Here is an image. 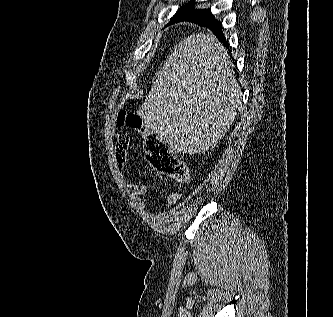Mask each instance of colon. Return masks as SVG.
Instances as JSON below:
<instances>
[{
  "label": "colon",
  "mask_w": 333,
  "mask_h": 317,
  "mask_svg": "<svg viewBox=\"0 0 333 317\" xmlns=\"http://www.w3.org/2000/svg\"><path fill=\"white\" fill-rule=\"evenodd\" d=\"M118 124L142 133L146 157L155 169L169 175L179 183L189 182L190 173L186 164L167 143L144 125L139 115L123 111L119 114Z\"/></svg>",
  "instance_id": "obj_1"
}]
</instances>
